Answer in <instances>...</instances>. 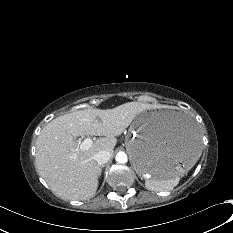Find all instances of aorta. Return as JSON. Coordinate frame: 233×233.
<instances>
[{
    "instance_id": "762f6f07",
    "label": "aorta",
    "mask_w": 233,
    "mask_h": 233,
    "mask_svg": "<svg viewBox=\"0 0 233 233\" xmlns=\"http://www.w3.org/2000/svg\"><path fill=\"white\" fill-rule=\"evenodd\" d=\"M115 160H116V162H118L120 164H125L128 161L127 154L125 152H123V151H119L116 154Z\"/></svg>"
}]
</instances>
